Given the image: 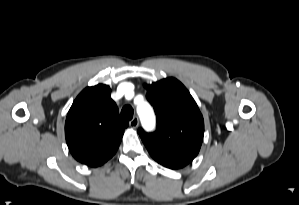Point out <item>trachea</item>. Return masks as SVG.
<instances>
[{"label":"trachea","mask_w":299,"mask_h":205,"mask_svg":"<svg viewBox=\"0 0 299 205\" xmlns=\"http://www.w3.org/2000/svg\"><path fill=\"white\" fill-rule=\"evenodd\" d=\"M133 108L130 105H126L121 110V116L124 120H131L133 118Z\"/></svg>","instance_id":"trachea-1"}]
</instances>
